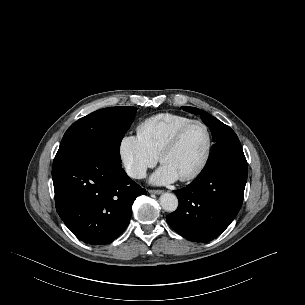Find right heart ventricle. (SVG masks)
<instances>
[{
	"instance_id": "obj_1",
	"label": "right heart ventricle",
	"mask_w": 305,
	"mask_h": 305,
	"mask_svg": "<svg viewBox=\"0 0 305 305\" xmlns=\"http://www.w3.org/2000/svg\"><path fill=\"white\" fill-rule=\"evenodd\" d=\"M191 118L173 113H161L149 117L137 127V134L147 148L156 156L163 145L170 139L174 132Z\"/></svg>"
}]
</instances>
